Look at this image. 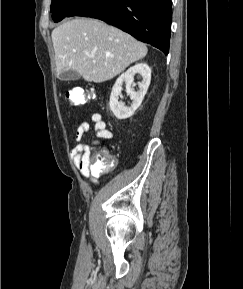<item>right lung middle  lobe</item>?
<instances>
[{"label": "right lung middle lobe", "mask_w": 243, "mask_h": 289, "mask_svg": "<svg viewBox=\"0 0 243 289\" xmlns=\"http://www.w3.org/2000/svg\"><path fill=\"white\" fill-rule=\"evenodd\" d=\"M85 0H52L50 11L54 22H59L65 17H70Z\"/></svg>", "instance_id": "1"}]
</instances>
